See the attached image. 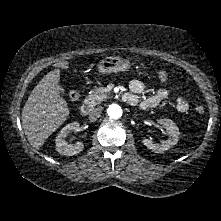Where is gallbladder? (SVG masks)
Segmentation results:
<instances>
[{
	"instance_id": "bac80fb5",
	"label": "gallbladder",
	"mask_w": 221,
	"mask_h": 221,
	"mask_svg": "<svg viewBox=\"0 0 221 221\" xmlns=\"http://www.w3.org/2000/svg\"><path fill=\"white\" fill-rule=\"evenodd\" d=\"M60 93L63 94V90H61Z\"/></svg>"
}]
</instances>
